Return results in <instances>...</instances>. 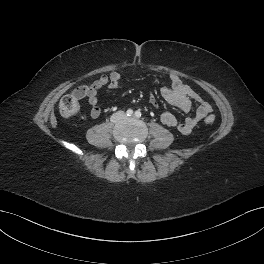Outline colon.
<instances>
[{"mask_svg":"<svg viewBox=\"0 0 264 264\" xmlns=\"http://www.w3.org/2000/svg\"><path fill=\"white\" fill-rule=\"evenodd\" d=\"M88 87H80L76 89L73 93L65 95L60 103L59 109L63 116L65 117H73L75 116L80 109V99L86 95ZM215 118L213 115H209L205 119V123L208 125L213 124Z\"/></svg>","mask_w":264,"mask_h":264,"instance_id":"colon-1","label":"colon"}]
</instances>
